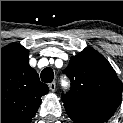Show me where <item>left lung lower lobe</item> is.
<instances>
[{
	"label": "left lung lower lobe",
	"mask_w": 123,
	"mask_h": 123,
	"mask_svg": "<svg viewBox=\"0 0 123 123\" xmlns=\"http://www.w3.org/2000/svg\"><path fill=\"white\" fill-rule=\"evenodd\" d=\"M71 119L74 121V123H103L102 121L88 118L83 115H76V116L72 117Z\"/></svg>",
	"instance_id": "1"
}]
</instances>
